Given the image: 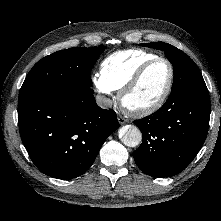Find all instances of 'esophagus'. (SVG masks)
Instances as JSON below:
<instances>
[{
  "mask_svg": "<svg viewBox=\"0 0 221 221\" xmlns=\"http://www.w3.org/2000/svg\"><path fill=\"white\" fill-rule=\"evenodd\" d=\"M118 121H119V123H120L121 125H123V124H125V123L128 122V120H127L126 118L122 117V116H119V117H118Z\"/></svg>",
  "mask_w": 221,
  "mask_h": 221,
  "instance_id": "obj_1",
  "label": "esophagus"
}]
</instances>
